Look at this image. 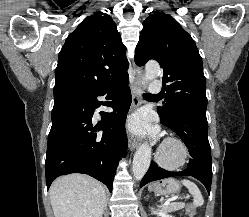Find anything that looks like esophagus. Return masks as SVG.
I'll list each match as a JSON object with an SVG mask.
<instances>
[{
  "label": "esophagus",
  "mask_w": 249,
  "mask_h": 217,
  "mask_svg": "<svg viewBox=\"0 0 249 217\" xmlns=\"http://www.w3.org/2000/svg\"><path fill=\"white\" fill-rule=\"evenodd\" d=\"M133 66L136 72V76L131 87V92H132L131 111L141 105L142 79L144 76V72L141 67L137 66L134 62ZM128 142H129V148L131 150L137 148L138 139L131 132H128Z\"/></svg>",
  "instance_id": "esophagus-1"
}]
</instances>
